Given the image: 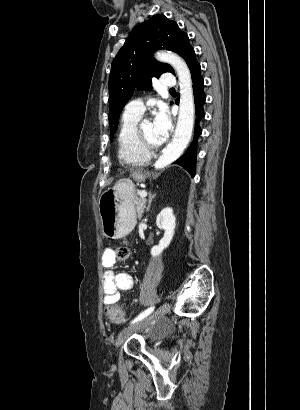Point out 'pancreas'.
<instances>
[{
  "label": "pancreas",
  "instance_id": "obj_1",
  "mask_svg": "<svg viewBox=\"0 0 300 410\" xmlns=\"http://www.w3.org/2000/svg\"><path fill=\"white\" fill-rule=\"evenodd\" d=\"M135 204H136V211H137V216L138 218H141L143 212H144V206H145V200L142 198H135Z\"/></svg>",
  "mask_w": 300,
  "mask_h": 410
}]
</instances>
